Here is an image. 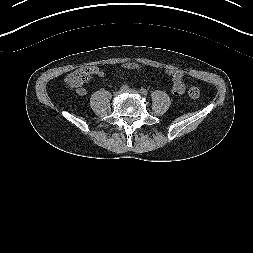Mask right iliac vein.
<instances>
[{
    "label": "right iliac vein",
    "mask_w": 253,
    "mask_h": 253,
    "mask_svg": "<svg viewBox=\"0 0 253 253\" xmlns=\"http://www.w3.org/2000/svg\"><path fill=\"white\" fill-rule=\"evenodd\" d=\"M121 93V91L117 92L116 95H119Z\"/></svg>",
    "instance_id": "obj_1"
}]
</instances>
